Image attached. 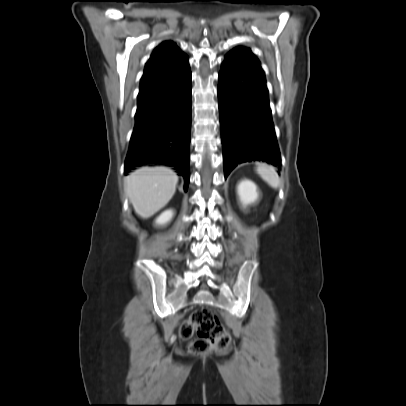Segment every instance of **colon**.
Here are the masks:
<instances>
[{"mask_svg":"<svg viewBox=\"0 0 406 406\" xmlns=\"http://www.w3.org/2000/svg\"><path fill=\"white\" fill-rule=\"evenodd\" d=\"M195 332L197 338L190 343L189 347L192 353L223 351L230 346V335L211 310L201 309L193 312L179 328V336L185 340L192 338Z\"/></svg>","mask_w":406,"mask_h":406,"instance_id":"obj_1","label":"colon"}]
</instances>
